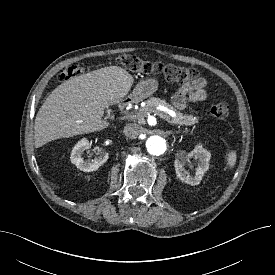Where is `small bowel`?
I'll use <instances>...</instances> for the list:
<instances>
[{"label":"small bowel","mask_w":275,"mask_h":275,"mask_svg":"<svg viewBox=\"0 0 275 275\" xmlns=\"http://www.w3.org/2000/svg\"><path fill=\"white\" fill-rule=\"evenodd\" d=\"M206 97V80L204 78H198L178 88L173 95L172 102L177 109L183 110L188 100L191 102H201L204 101Z\"/></svg>","instance_id":"obj_1"}]
</instances>
